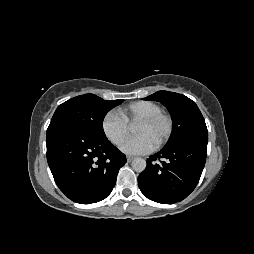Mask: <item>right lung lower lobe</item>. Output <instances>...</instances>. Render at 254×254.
<instances>
[{
    "mask_svg": "<svg viewBox=\"0 0 254 254\" xmlns=\"http://www.w3.org/2000/svg\"><path fill=\"white\" fill-rule=\"evenodd\" d=\"M46 145L47 161L57 186L80 204L105 199L126 163V156L106 136L66 123L49 125Z\"/></svg>",
    "mask_w": 254,
    "mask_h": 254,
    "instance_id": "right-lung-lower-lobe-1",
    "label": "right lung lower lobe"
}]
</instances>
